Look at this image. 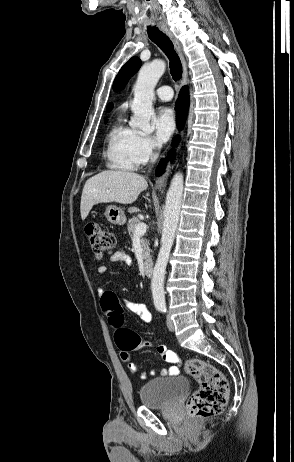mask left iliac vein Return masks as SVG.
Returning <instances> with one entry per match:
<instances>
[{
  "mask_svg": "<svg viewBox=\"0 0 294 462\" xmlns=\"http://www.w3.org/2000/svg\"><path fill=\"white\" fill-rule=\"evenodd\" d=\"M167 327L169 331L173 332L175 330L173 321L171 320L170 317H167Z\"/></svg>",
  "mask_w": 294,
  "mask_h": 462,
  "instance_id": "1",
  "label": "left iliac vein"
}]
</instances>
